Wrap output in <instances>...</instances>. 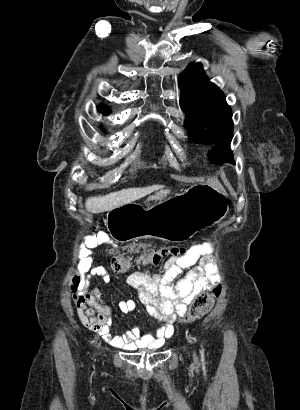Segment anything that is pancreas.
I'll return each instance as SVG.
<instances>
[{"instance_id":"1","label":"pancreas","mask_w":300,"mask_h":410,"mask_svg":"<svg viewBox=\"0 0 300 410\" xmlns=\"http://www.w3.org/2000/svg\"><path fill=\"white\" fill-rule=\"evenodd\" d=\"M162 196H165V193H162Z\"/></svg>"}]
</instances>
